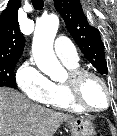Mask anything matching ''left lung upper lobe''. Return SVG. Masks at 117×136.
I'll return each mask as SVG.
<instances>
[{"label":"left lung upper lobe","mask_w":117,"mask_h":136,"mask_svg":"<svg viewBox=\"0 0 117 136\" xmlns=\"http://www.w3.org/2000/svg\"><path fill=\"white\" fill-rule=\"evenodd\" d=\"M54 5L64 19L68 32L88 61L100 74H107L104 44L100 33L89 25L80 0H54Z\"/></svg>","instance_id":"1"}]
</instances>
